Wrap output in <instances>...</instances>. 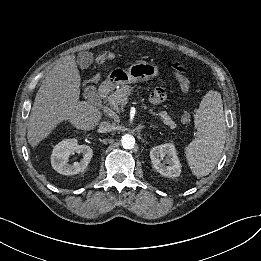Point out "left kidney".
Returning <instances> with one entry per match:
<instances>
[{
  "label": "left kidney",
  "mask_w": 261,
  "mask_h": 261,
  "mask_svg": "<svg viewBox=\"0 0 261 261\" xmlns=\"http://www.w3.org/2000/svg\"><path fill=\"white\" fill-rule=\"evenodd\" d=\"M150 158L153 167L162 176L173 178L180 175L181 164L177 157L176 148L172 143L153 147L150 150Z\"/></svg>",
  "instance_id": "1"
}]
</instances>
